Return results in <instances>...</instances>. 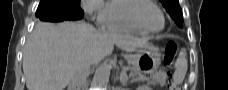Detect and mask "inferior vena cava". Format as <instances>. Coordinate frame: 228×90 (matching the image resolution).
<instances>
[{"label":"inferior vena cava","instance_id":"602c4592","mask_svg":"<svg viewBox=\"0 0 228 90\" xmlns=\"http://www.w3.org/2000/svg\"><path fill=\"white\" fill-rule=\"evenodd\" d=\"M89 73H90V64L89 63L80 64L72 75L71 87L74 90H85Z\"/></svg>","mask_w":228,"mask_h":90}]
</instances>
